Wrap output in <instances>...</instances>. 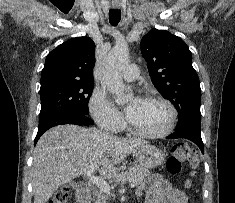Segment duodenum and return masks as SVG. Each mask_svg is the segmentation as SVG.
<instances>
[{"instance_id":"1","label":"duodenum","mask_w":235,"mask_h":203,"mask_svg":"<svg viewBox=\"0 0 235 203\" xmlns=\"http://www.w3.org/2000/svg\"><path fill=\"white\" fill-rule=\"evenodd\" d=\"M91 192L87 186H83L77 190V203H90Z\"/></svg>"}]
</instances>
